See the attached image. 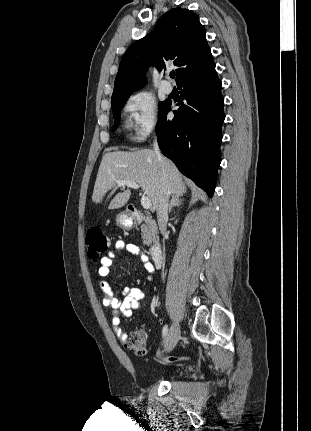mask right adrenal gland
<instances>
[{"instance_id":"right-adrenal-gland-1","label":"right adrenal gland","mask_w":311,"mask_h":431,"mask_svg":"<svg viewBox=\"0 0 311 431\" xmlns=\"http://www.w3.org/2000/svg\"><path fill=\"white\" fill-rule=\"evenodd\" d=\"M182 204H183V200L181 196H172L169 204V214H171V210L172 208H174V206H177V208H180Z\"/></svg>"}]
</instances>
